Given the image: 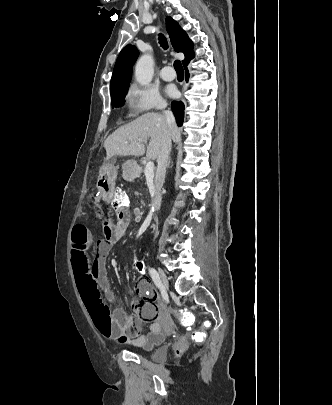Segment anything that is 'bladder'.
Returning a JSON list of instances; mask_svg holds the SVG:
<instances>
[{"instance_id": "31cf9c89", "label": "bladder", "mask_w": 332, "mask_h": 405, "mask_svg": "<svg viewBox=\"0 0 332 405\" xmlns=\"http://www.w3.org/2000/svg\"><path fill=\"white\" fill-rule=\"evenodd\" d=\"M166 334H161V339L151 345L145 346L142 348L145 352H152V360L155 362H165L168 356V348L165 345Z\"/></svg>"}]
</instances>
